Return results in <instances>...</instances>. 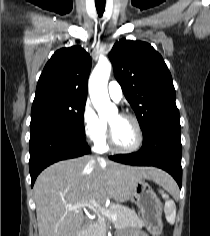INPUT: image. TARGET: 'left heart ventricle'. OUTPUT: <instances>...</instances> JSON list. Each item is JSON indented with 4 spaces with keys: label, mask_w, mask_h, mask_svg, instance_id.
<instances>
[{
    "label": "left heart ventricle",
    "mask_w": 210,
    "mask_h": 236,
    "mask_svg": "<svg viewBox=\"0 0 210 236\" xmlns=\"http://www.w3.org/2000/svg\"><path fill=\"white\" fill-rule=\"evenodd\" d=\"M108 121L112 128L113 140L117 146L128 148L134 145L137 133L131 120L114 114Z\"/></svg>",
    "instance_id": "left-heart-ventricle-1"
}]
</instances>
